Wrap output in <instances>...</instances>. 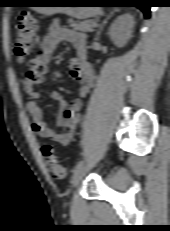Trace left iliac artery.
I'll list each match as a JSON object with an SVG mask.
<instances>
[{
  "label": "left iliac artery",
  "instance_id": "left-iliac-artery-1",
  "mask_svg": "<svg viewBox=\"0 0 170 231\" xmlns=\"http://www.w3.org/2000/svg\"><path fill=\"white\" fill-rule=\"evenodd\" d=\"M84 164L83 160H81L80 162H78L76 164V166L73 168V172H75L78 168L82 167Z\"/></svg>",
  "mask_w": 170,
  "mask_h": 231
}]
</instances>
